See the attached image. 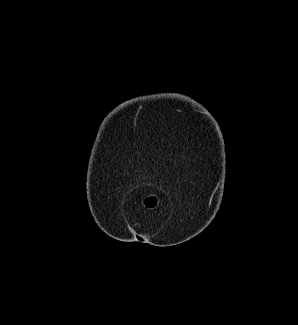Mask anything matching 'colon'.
<instances>
[{"mask_svg":"<svg viewBox=\"0 0 298 325\" xmlns=\"http://www.w3.org/2000/svg\"><path fill=\"white\" fill-rule=\"evenodd\" d=\"M144 205L147 208H155L157 205V198L155 196H148L144 199Z\"/></svg>","mask_w":298,"mask_h":325,"instance_id":"1","label":"colon"}]
</instances>
